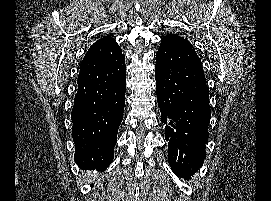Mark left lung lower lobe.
<instances>
[{"instance_id": "1", "label": "left lung lower lobe", "mask_w": 271, "mask_h": 201, "mask_svg": "<svg viewBox=\"0 0 271 201\" xmlns=\"http://www.w3.org/2000/svg\"><path fill=\"white\" fill-rule=\"evenodd\" d=\"M155 76L169 164L177 176L188 178L206 157L211 115L202 63L192 44L178 35L163 37Z\"/></svg>"}]
</instances>
